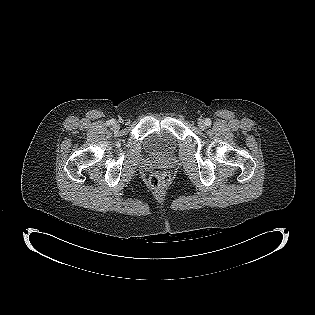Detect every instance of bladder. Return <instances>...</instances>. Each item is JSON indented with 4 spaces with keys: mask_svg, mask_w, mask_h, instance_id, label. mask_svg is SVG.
<instances>
[{
    "mask_svg": "<svg viewBox=\"0 0 315 315\" xmlns=\"http://www.w3.org/2000/svg\"><path fill=\"white\" fill-rule=\"evenodd\" d=\"M146 147L151 155L165 157L174 152L176 141L169 133L161 131L148 137Z\"/></svg>",
    "mask_w": 315,
    "mask_h": 315,
    "instance_id": "bladder-1",
    "label": "bladder"
}]
</instances>
